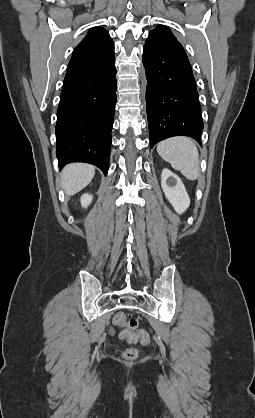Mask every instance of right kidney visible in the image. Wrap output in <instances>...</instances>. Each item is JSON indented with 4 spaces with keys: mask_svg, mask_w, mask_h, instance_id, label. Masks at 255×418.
<instances>
[{
    "mask_svg": "<svg viewBox=\"0 0 255 418\" xmlns=\"http://www.w3.org/2000/svg\"><path fill=\"white\" fill-rule=\"evenodd\" d=\"M92 195H89L88 193H85L81 196V205L83 208H87V206L92 202Z\"/></svg>",
    "mask_w": 255,
    "mask_h": 418,
    "instance_id": "right-kidney-1",
    "label": "right kidney"
}]
</instances>
